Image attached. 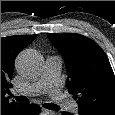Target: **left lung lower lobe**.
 Returning a JSON list of instances; mask_svg holds the SVG:
<instances>
[{
	"mask_svg": "<svg viewBox=\"0 0 115 115\" xmlns=\"http://www.w3.org/2000/svg\"><path fill=\"white\" fill-rule=\"evenodd\" d=\"M62 115H73V114L69 112H62Z\"/></svg>",
	"mask_w": 115,
	"mask_h": 115,
	"instance_id": "left-lung-lower-lobe-1",
	"label": "left lung lower lobe"
}]
</instances>
